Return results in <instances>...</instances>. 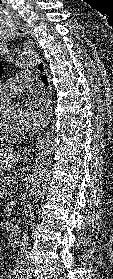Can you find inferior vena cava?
<instances>
[{
    "label": "inferior vena cava",
    "mask_w": 113,
    "mask_h": 279,
    "mask_svg": "<svg viewBox=\"0 0 113 279\" xmlns=\"http://www.w3.org/2000/svg\"><path fill=\"white\" fill-rule=\"evenodd\" d=\"M28 233L25 231L23 233L22 240L19 245L18 256L16 258V268L20 274L23 276L29 273V243H28Z\"/></svg>",
    "instance_id": "obj_1"
}]
</instances>
